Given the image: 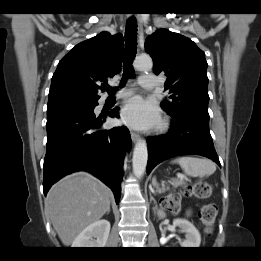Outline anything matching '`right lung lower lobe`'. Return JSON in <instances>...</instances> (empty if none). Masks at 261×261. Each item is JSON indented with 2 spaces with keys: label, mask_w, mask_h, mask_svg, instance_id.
<instances>
[{
  "label": "right lung lower lobe",
  "mask_w": 261,
  "mask_h": 261,
  "mask_svg": "<svg viewBox=\"0 0 261 261\" xmlns=\"http://www.w3.org/2000/svg\"><path fill=\"white\" fill-rule=\"evenodd\" d=\"M96 103L88 110L66 109L47 114V151L44 159L43 191L61 177L85 170L109 186L120 201L125 150L131 146L129 130H101L105 120L95 118ZM109 117H119L117 109Z\"/></svg>",
  "instance_id": "right-lung-lower-lobe-1"
}]
</instances>
